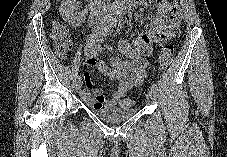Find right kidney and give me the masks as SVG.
<instances>
[{"mask_svg": "<svg viewBox=\"0 0 227 157\" xmlns=\"http://www.w3.org/2000/svg\"><path fill=\"white\" fill-rule=\"evenodd\" d=\"M75 1H63L60 8V14L63 19L72 25H78L79 21L81 20L80 16L74 13L75 6L73 5Z\"/></svg>", "mask_w": 227, "mask_h": 157, "instance_id": "ca27d5eb", "label": "right kidney"}]
</instances>
